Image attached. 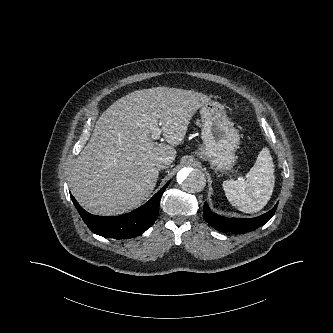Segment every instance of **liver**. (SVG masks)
I'll return each instance as SVG.
<instances>
[{
    "label": "liver",
    "mask_w": 333,
    "mask_h": 333,
    "mask_svg": "<svg viewBox=\"0 0 333 333\" xmlns=\"http://www.w3.org/2000/svg\"><path fill=\"white\" fill-rule=\"evenodd\" d=\"M209 101L202 93L154 87L114 102L99 117L72 166L69 187L78 203L88 212L104 216L120 215L141 205L159 178L156 161H174V146L185 138L196 111ZM155 121L170 145L153 142L150 127Z\"/></svg>",
    "instance_id": "obj_1"
}]
</instances>
